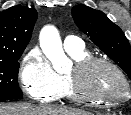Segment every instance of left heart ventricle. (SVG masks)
Here are the masks:
<instances>
[{
  "instance_id": "left-heart-ventricle-1",
  "label": "left heart ventricle",
  "mask_w": 131,
  "mask_h": 115,
  "mask_svg": "<svg viewBox=\"0 0 131 115\" xmlns=\"http://www.w3.org/2000/svg\"><path fill=\"white\" fill-rule=\"evenodd\" d=\"M88 90L110 99L125 96V86L118 74L104 65H96L87 75Z\"/></svg>"
}]
</instances>
